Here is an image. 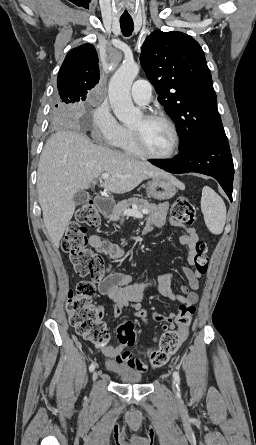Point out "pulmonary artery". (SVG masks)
Segmentation results:
<instances>
[{
  "instance_id": "obj_1",
  "label": "pulmonary artery",
  "mask_w": 256,
  "mask_h": 445,
  "mask_svg": "<svg viewBox=\"0 0 256 445\" xmlns=\"http://www.w3.org/2000/svg\"><path fill=\"white\" fill-rule=\"evenodd\" d=\"M131 96L135 103L141 106L149 104L152 96L151 85L147 80H137L131 88Z\"/></svg>"
}]
</instances>
